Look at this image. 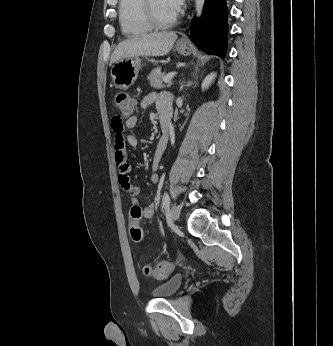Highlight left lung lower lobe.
Instances as JSON below:
<instances>
[{"mask_svg": "<svg viewBox=\"0 0 333 346\" xmlns=\"http://www.w3.org/2000/svg\"><path fill=\"white\" fill-rule=\"evenodd\" d=\"M226 0H205L202 17L193 18L191 39L208 54L225 57L228 34Z\"/></svg>", "mask_w": 333, "mask_h": 346, "instance_id": "obj_1", "label": "left lung lower lobe"}]
</instances>
